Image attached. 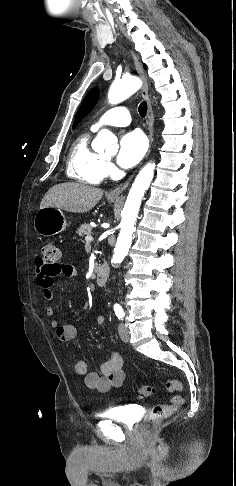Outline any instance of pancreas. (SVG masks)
<instances>
[{
	"label": "pancreas",
	"mask_w": 236,
	"mask_h": 486,
	"mask_svg": "<svg viewBox=\"0 0 236 486\" xmlns=\"http://www.w3.org/2000/svg\"><path fill=\"white\" fill-rule=\"evenodd\" d=\"M91 232H92V227L88 224L81 225L77 230V234L80 237H83L85 235H91Z\"/></svg>",
	"instance_id": "cf45deb5"
}]
</instances>
